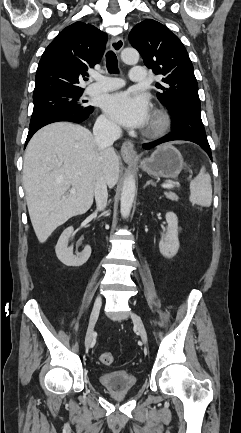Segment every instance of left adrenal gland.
<instances>
[{
  "mask_svg": "<svg viewBox=\"0 0 241 433\" xmlns=\"http://www.w3.org/2000/svg\"><path fill=\"white\" fill-rule=\"evenodd\" d=\"M149 185L155 186V183L152 180H149V181L146 182L144 188H146Z\"/></svg>",
  "mask_w": 241,
  "mask_h": 433,
  "instance_id": "obj_1",
  "label": "left adrenal gland"
}]
</instances>
